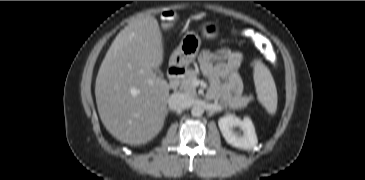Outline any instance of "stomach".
Segmentation results:
<instances>
[{
    "instance_id": "stomach-1",
    "label": "stomach",
    "mask_w": 365,
    "mask_h": 180,
    "mask_svg": "<svg viewBox=\"0 0 365 180\" xmlns=\"http://www.w3.org/2000/svg\"><path fill=\"white\" fill-rule=\"evenodd\" d=\"M202 36L195 32H187L181 39L179 46L170 56L169 65L172 67H188L197 56L202 39L215 40L219 35L218 26L212 22H204L200 26Z\"/></svg>"
}]
</instances>
